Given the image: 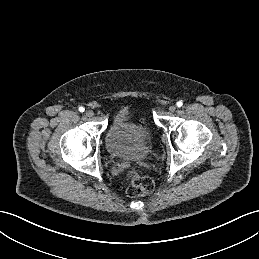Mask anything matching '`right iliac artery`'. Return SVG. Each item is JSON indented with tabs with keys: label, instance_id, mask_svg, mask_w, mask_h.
<instances>
[{
	"label": "right iliac artery",
	"instance_id": "right-iliac-artery-1",
	"mask_svg": "<svg viewBox=\"0 0 259 259\" xmlns=\"http://www.w3.org/2000/svg\"><path fill=\"white\" fill-rule=\"evenodd\" d=\"M84 110H85L84 107H82V106L79 107V111H80V112H84Z\"/></svg>",
	"mask_w": 259,
	"mask_h": 259
}]
</instances>
